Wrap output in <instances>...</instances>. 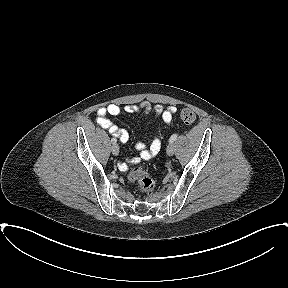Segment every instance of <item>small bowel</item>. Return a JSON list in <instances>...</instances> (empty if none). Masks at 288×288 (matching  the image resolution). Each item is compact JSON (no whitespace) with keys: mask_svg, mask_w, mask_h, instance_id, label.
I'll use <instances>...</instances> for the list:
<instances>
[{"mask_svg":"<svg viewBox=\"0 0 288 288\" xmlns=\"http://www.w3.org/2000/svg\"><path fill=\"white\" fill-rule=\"evenodd\" d=\"M123 110L129 114H142L148 116L153 114L157 118H161L164 123L170 124L176 108L170 106L164 108L162 105H152L148 102L141 105H126ZM121 113V107L116 104H110L107 107H102L97 111V123L104 129H107L112 135L119 138L121 143H126L129 140V133L118 128L109 118V116H117ZM136 149L139 152L137 157L131 159L132 163H138L141 160H148L155 156L161 149V140L157 136H153L149 139L148 144L144 142H138ZM120 169H126L124 163L119 164Z\"/></svg>","mask_w":288,"mask_h":288,"instance_id":"1","label":"small bowel"}]
</instances>
